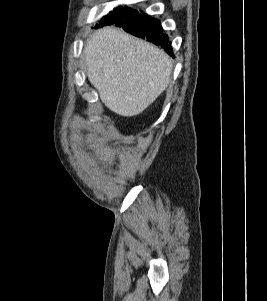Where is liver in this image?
<instances>
[{"label":"liver","instance_id":"obj_1","mask_svg":"<svg viewBox=\"0 0 267 301\" xmlns=\"http://www.w3.org/2000/svg\"><path fill=\"white\" fill-rule=\"evenodd\" d=\"M84 60L90 83L114 113H142L168 87L172 61L160 48L113 27L87 40Z\"/></svg>","mask_w":267,"mask_h":301}]
</instances>
